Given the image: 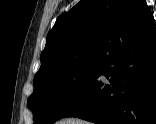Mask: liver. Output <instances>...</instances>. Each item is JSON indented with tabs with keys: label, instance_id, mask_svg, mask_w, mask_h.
Returning a JSON list of instances; mask_svg holds the SVG:
<instances>
[{
	"label": "liver",
	"instance_id": "1",
	"mask_svg": "<svg viewBox=\"0 0 156 124\" xmlns=\"http://www.w3.org/2000/svg\"><path fill=\"white\" fill-rule=\"evenodd\" d=\"M57 124H92V123L77 118H67L58 121Z\"/></svg>",
	"mask_w": 156,
	"mask_h": 124
}]
</instances>
